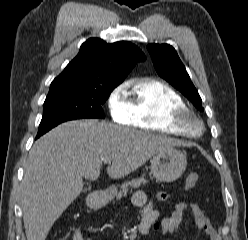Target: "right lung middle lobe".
Here are the masks:
<instances>
[{
  "label": "right lung middle lobe",
  "instance_id": "dd1d6c3e",
  "mask_svg": "<svg viewBox=\"0 0 248 240\" xmlns=\"http://www.w3.org/2000/svg\"><path fill=\"white\" fill-rule=\"evenodd\" d=\"M114 88H63L49 91L43 105L39 128L75 119L101 118L105 115L102 105Z\"/></svg>",
  "mask_w": 248,
  "mask_h": 240
}]
</instances>
